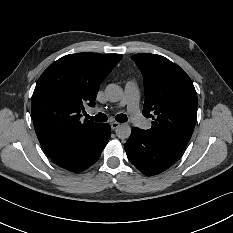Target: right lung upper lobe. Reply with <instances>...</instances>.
<instances>
[{
	"instance_id": "right-lung-upper-lobe-1",
	"label": "right lung upper lobe",
	"mask_w": 233,
	"mask_h": 233,
	"mask_svg": "<svg viewBox=\"0 0 233 233\" xmlns=\"http://www.w3.org/2000/svg\"><path fill=\"white\" fill-rule=\"evenodd\" d=\"M119 54L78 53L52 63L35 87L31 111L39 142L48 156L98 131L102 124L80 121L93 107L99 86L121 60Z\"/></svg>"
}]
</instances>
